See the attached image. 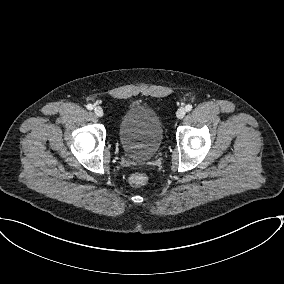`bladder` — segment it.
<instances>
[{
    "instance_id": "bladder-1",
    "label": "bladder",
    "mask_w": 284,
    "mask_h": 284,
    "mask_svg": "<svg viewBox=\"0 0 284 284\" xmlns=\"http://www.w3.org/2000/svg\"><path fill=\"white\" fill-rule=\"evenodd\" d=\"M118 135L128 157L149 160L157 153L163 140L161 118L147 105L132 104L120 119Z\"/></svg>"
}]
</instances>
